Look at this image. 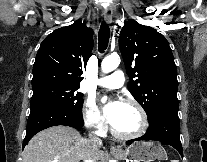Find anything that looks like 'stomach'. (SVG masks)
Listing matches in <instances>:
<instances>
[{
	"label": "stomach",
	"mask_w": 207,
	"mask_h": 162,
	"mask_svg": "<svg viewBox=\"0 0 207 162\" xmlns=\"http://www.w3.org/2000/svg\"><path fill=\"white\" fill-rule=\"evenodd\" d=\"M115 157L120 160L131 162H153L155 160H166L167 153L160 143L156 142H139L120 149L114 153Z\"/></svg>",
	"instance_id": "0dacf381"
}]
</instances>
